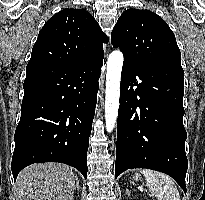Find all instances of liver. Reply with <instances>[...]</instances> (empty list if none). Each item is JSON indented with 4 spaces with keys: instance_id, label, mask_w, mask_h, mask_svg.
Listing matches in <instances>:
<instances>
[{
    "instance_id": "liver-1",
    "label": "liver",
    "mask_w": 205,
    "mask_h": 200,
    "mask_svg": "<svg viewBox=\"0 0 205 200\" xmlns=\"http://www.w3.org/2000/svg\"><path fill=\"white\" fill-rule=\"evenodd\" d=\"M77 176L61 163H40L24 168L15 183L16 200H72Z\"/></svg>"
}]
</instances>
